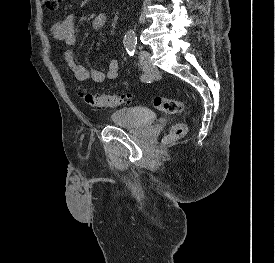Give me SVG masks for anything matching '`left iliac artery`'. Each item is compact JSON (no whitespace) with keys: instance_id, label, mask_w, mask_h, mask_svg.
<instances>
[{"instance_id":"44dca946","label":"left iliac artery","mask_w":275,"mask_h":263,"mask_svg":"<svg viewBox=\"0 0 275 263\" xmlns=\"http://www.w3.org/2000/svg\"><path fill=\"white\" fill-rule=\"evenodd\" d=\"M124 46L127 53L133 56L137 46V36L133 30H129L124 36Z\"/></svg>"}]
</instances>
